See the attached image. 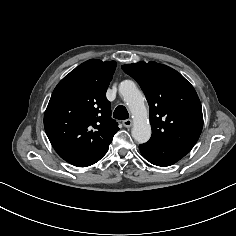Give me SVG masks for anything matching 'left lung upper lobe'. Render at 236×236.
<instances>
[{
  "label": "left lung upper lobe",
  "instance_id": "5c2ea615",
  "mask_svg": "<svg viewBox=\"0 0 236 236\" xmlns=\"http://www.w3.org/2000/svg\"><path fill=\"white\" fill-rule=\"evenodd\" d=\"M142 88L150 109V144H196L202 107L193 86L176 70L156 62L121 66Z\"/></svg>",
  "mask_w": 236,
  "mask_h": 236
}]
</instances>
